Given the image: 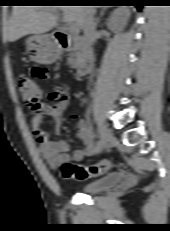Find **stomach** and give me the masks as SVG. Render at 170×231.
I'll use <instances>...</instances> for the list:
<instances>
[{
    "mask_svg": "<svg viewBox=\"0 0 170 231\" xmlns=\"http://www.w3.org/2000/svg\"><path fill=\"white\" fill-rule=\"evenodd\" d=\"M30 58L41 64H51L59 57L57 45L48 35L34 34L26 39Z\"/></svg>",
    "mask_w": 170,
    "mask_h": 231,
    "instance_id": "obj_1",
    "label": "stomach"
}]
</instances>
